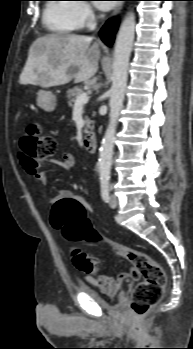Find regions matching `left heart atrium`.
<instances>
[{"label": "left heart atrium", "instance_id": "obj_1", "mask_svg": "<svg viewBox=\"0 0 193 349\" xmlns=\"http://www.w3.org/2000/svg\"><path fill=\"white\" fill-rule=\"evenodd\" d=\"M96 6L102 11H107L112 8L113 4L110 2H100L97 3Z\"/></svg>", "mask_w": 193, "mask_h": 349}]
</instances>
